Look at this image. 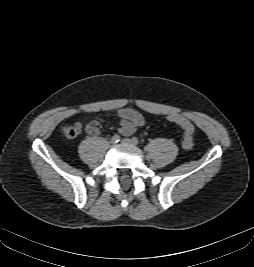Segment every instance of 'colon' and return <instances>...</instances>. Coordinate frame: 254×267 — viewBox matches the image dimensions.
I'll use <instances>...</instances> for the list:
<instances>
[{
    "mask_svg": "<svg viewBox=\"0 0 254 267\" xmlns=\"http://www.w3.org/2000/svg\"><path fill=\"white\" fill-rule=\"evenodd\" d=\"M169 122L179 125L183 129L182 146L185 149H192L194 147V126L184 116L176 113L169 114L167 116ZM63 133L67 138L74 139L81 134V128L78 125L66 126L63 128Z\"/></svg>",
    "mask_w": 254,
    "mask_h": 267,
    "instance_id": "5ec220e1",
    "label": "colon"
}]
</instances>
